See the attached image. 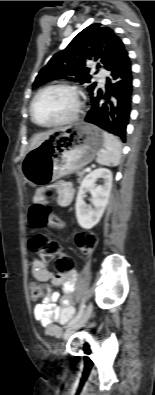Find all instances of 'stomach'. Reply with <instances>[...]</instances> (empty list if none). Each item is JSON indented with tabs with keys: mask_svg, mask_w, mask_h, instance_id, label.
<instances>
[{
	"mask_svg": "<svg viewBox=\"0 0 155 395\" xmlns=\"http://www.w3.org/2000/svg\"><path fill=\"white\" fill-rule=\"evenodd\" d=\"M103 143V131L85 122L61 128L26 154L22 162L24 178L33 186L53 182L90 163Z\"/></svg>",
	"mask_w": 155,
	"mask_h": 395,
	"instance_id": "1",
	"label": "stomach"
}]
</instances>
